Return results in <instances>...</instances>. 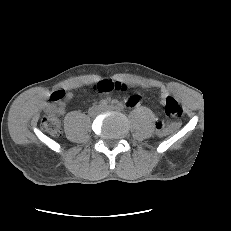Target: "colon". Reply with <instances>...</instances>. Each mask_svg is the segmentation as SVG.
Listing matches in <instances>:
<instances>
[{
  "instance_id": "5ec220e1",
  "label": "colon",
  "mask_w": 231,
  "mask_h": 231,
  "mask_svg": "<svg viewBox=\"0 0 231 231\" xmlns=\"http://www.w3.org/2000/svg\"><path fill=\"white\" fill-rule=\"evenodd\" d=\"M94 89L98 92H110L113 90L124 91L126 88L118 81L102 80L94 85ZM61 94L54 92L51 96V101L60 99ZM165 113L167 116L178 119L182 115V108L180 103L173 96H166L165 98ZM43 129L52 136H58L60 134V122L56 116L49 114L43 117L41 121ZM157 130L161 135H164L167 130L162 122L157 123Z\"/></svg>"
}]
</instances>
